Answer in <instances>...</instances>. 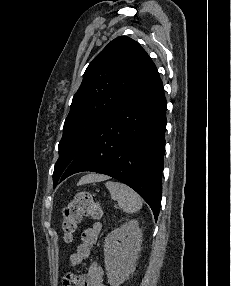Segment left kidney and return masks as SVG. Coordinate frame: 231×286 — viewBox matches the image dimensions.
Masks as SVG:
<instances>
[{
    "instance_id": "1",
    "label": "left kidney",
    "mask_w": 231,
    "mask_h": 286,
    "mask_svg": "<svg viewBox=\"0 0 231 286\" xmlns=\"http://www.w3.org/2000/svg\"><path fill=\"white\" fill-rule=\"evenodd\" d=\"M142 243V231L137 220L114 229L104 242V261L108 283L119 286L136 268Z\"/></svg>"
}]
</instances>
